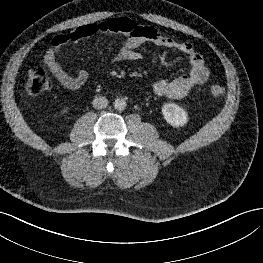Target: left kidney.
Listing matches in <instances>:
<instances>
[{
  "label": "left kidney",
  "mask_w": 263,
  "mask_h": 263,
  "mask_svg": "<svg viewBox=\"0 0 263 263\" xmlns=\"http://www.w3.org/2000/svg\"><path fill=\"white\" fill-rule=\"evenodd\" d=\"M162 114L166 122L174 127L184 126L188 121L187 112L175 103L164 104Z\"/></svg>",
  "instance_id": "obj_1"
}]
</instances>
